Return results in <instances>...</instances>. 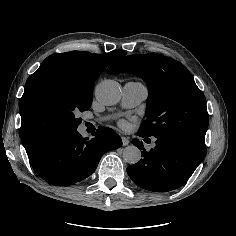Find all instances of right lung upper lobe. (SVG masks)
I'll list each match as a JSON object with an SVG mask.
<instances>
[{
	"instance_id": "cb5924a9",
	"label": "right lung upper lobe",
	"mask_w": 236,
	"mask_h": 236,
	"mask_svg": "<svg viewBox=\"0 0 236 236\" xmlns=\"http://www.w3.org/2000/svg\"><path fill=\"white\" fill-rule=\"evenodd\" d=\"M125 54L122 51L108 54H92L83 51L56 53L47 57L38 71L46 68H67L85 79H97L107 66Z\"/></svg>"
}]
</instances>
